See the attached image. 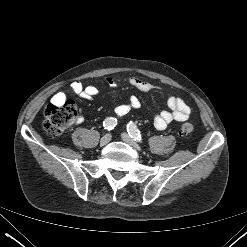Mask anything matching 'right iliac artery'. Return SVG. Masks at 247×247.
I'll return each mask as SVG.
<instances>
[{"instance_id":"right-iliac-artery-1","label":"right iliac artery","mask_w":247,"mask_h":247,"mask_svg":"<svg viewBox=\"0 0 247 247\" xmlns=\"http://www.w3.org/2000/svg\"><path fill=\"white\" fill-rule=\"evenodd\" d=\"M117 125V119L116 118H107L104 122H103V126L105 127V129L107 130H112L115 126Z\"/></svg>"}]
</instances>
